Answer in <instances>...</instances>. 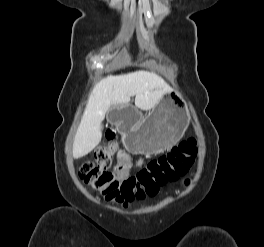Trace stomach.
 Instances as JSON below:
<instances>
[{
    "mask_svg": "<svg viewBox=\"0 0 264 247\" xmlns=\"http://www.w3.org/2000/svg\"><path fill=\"white\" fill-rule=\"evenodd\" d=\"M180 90H172L145 117L127 104L113 105L108 121L119 126L123 143L132 152L154 154L173 146L186 123L185 102L178 98Z\"/></svg>",
    "mask_w": 264,
    "mask_h": 247,
    "instance_id": "stomach-1",
    "label": "stomach"
}]
</instances>
